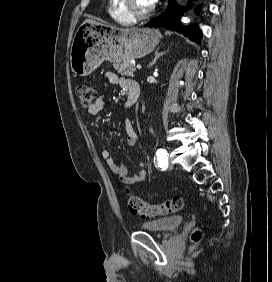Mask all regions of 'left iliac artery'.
<instances>
[{"instance_id": "1", "label": "left iliac artery", "mask_w": 272, "mask_h": 282, "mask_svg": "<svg viewBox=\"0 0 272 282\" xmlns=\"http://www.w3.org/2000/svg\"><path fill=\"white\" fill-rule=\"evenodd\" d=\"M157 164L160 168H166L168 166L167 151L165 149H158L156 152Z\"/></svg>"}]
</instances>
